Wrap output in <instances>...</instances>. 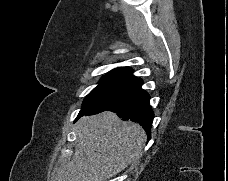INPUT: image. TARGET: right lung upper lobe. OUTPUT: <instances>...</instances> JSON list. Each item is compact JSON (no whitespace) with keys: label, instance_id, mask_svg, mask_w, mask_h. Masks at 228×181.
<instances>
[{"label":"right lung upper lobe","instance_id":"1","mask_svg":"<svg viewBox=\"0 0 228 181\" xmlns=\"http://www.w3.org/2000/svg\"><path fill=\"white\" fill-rule=\"evenodd\" d=\"M132 73H133L132 69L128 67H120L110 71L107 75L103 76V78H115V79L133 81L137 77H135Z\"/></svg>","mask_w":228,"mask_h":181}]
</instances>
